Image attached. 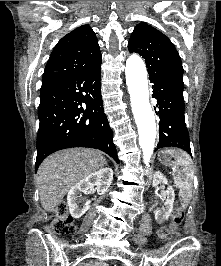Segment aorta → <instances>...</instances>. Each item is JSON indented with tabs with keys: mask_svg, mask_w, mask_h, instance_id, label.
Masks as SVG:
<instances>
[{
	"mask_svg": "<svg viewBox=\"0 0 221 266\" xmlns=\"http://www.w3.org/2000/svg\"><path fill=\"white\" fill-rule=\"evenodd\" d=\"M125 74L131 108L138 128L139 145L144 163L148 165L155 147L156 122L149 102L146 66L138 55L133 54L127 59Z\"/></svg>",
	"mask_w": 221,
	"mask_h": 266,
	"instance_id": "aorta-1",
	"label": "aorta"
}]
</instances>
